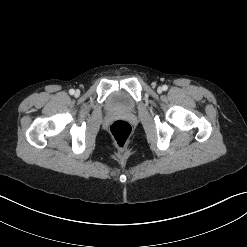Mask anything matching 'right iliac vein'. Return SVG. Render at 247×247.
I'll use <instances>...</instances> for the list:
<instances>
[{
	"label": "right iliac vein",
	"instance_id": "63e3f726",
	"mask_svg": "<svg viewBox=\"0 0 247 247\" xmlns=\"http://www.w3.org/2000/svg\"><path fill=\"white\" fill-rule=\"evenodd\" d=\"M79 94H80V91L77 90V91L75 92V95H76V96H79Z\"/></svg>",
	"mask_w": 247,
	"mask_h": 247
}]
</instances>
